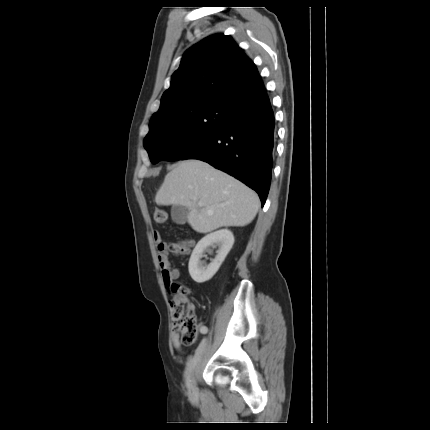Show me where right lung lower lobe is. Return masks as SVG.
<instances>
[{
	"label": "right lung lower lobe",
	"instance_id": "98d812e1",
	"mask_svg": "<svg viewBox=\"0 0 430 430\" xmlns=\"http://www.w3.org/2000/svg\"><path fill=\"white\" fill-rule=\"evenodd\" d=\"M226 109L224 127L182 159H199L234 176L258 193L263 206L276 140L274 113L263 82L251 99Z\"/></svg>",
	"mask_w": 430,
	"mask_h": 430
}]
</instances>
